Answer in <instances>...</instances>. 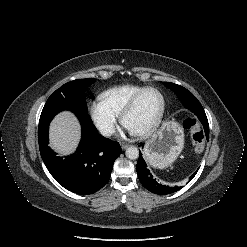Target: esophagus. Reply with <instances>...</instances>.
<instances>
[{
    "instance_id": "esophagus-1",
    "label": "esophagus",
    "mask_w": 247,
    "mask_h": 247,
    "mask_svg": "<svg viewBox=\"0 0 247 247\" xmlns=\"http://www.w3.org/2000/svg\"><path fill=\"white\" fill-rule=\"evenodd\" d=\"M128 147H129V144H126V143H123V144L121 145V148H122L123 150L127 149Z\"/></svg>"
}]
</instances>
